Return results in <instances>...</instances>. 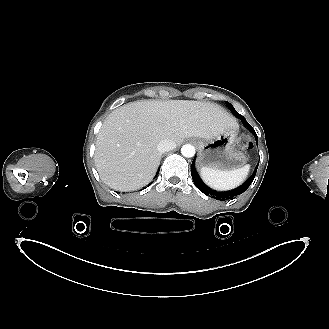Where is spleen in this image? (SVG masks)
I'll return each instance as SVG.
<instances>
[{"mask_svg": "<svg viewBox=\"0 0 329 329\" xmlns=\"http://www.w3.org/2000/svg\"><path fill=\"white\" fill-rule=\"evenodd\" d=\"M249 170V165L230 171L202 168L200 175L203 181L211 188L216 190H230L239 186L246 179Z\"/></svg>", "mask_w": 329, "mask_h": 329, "instance_id": "obj_1", "label": "spleen"}]
</instances>
